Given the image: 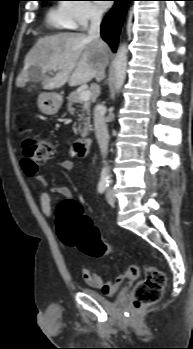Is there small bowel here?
<instances>
[{
    "instance_id": "small-bowel-1",
    "label": "small bowel",
    "mask_w": 193,
    "mask_h": 349,
    "mask_svg": "<svg viewBox=\"0 0 193 349\" xmlns=\"http://www.w3.org/2000/svg\"><path fill=\"white\" fill-rule=\"evenodd\" d=\"M59 165L63 169L70 171L74 168L75 164L72 159L67 158L61 161ZM22 167L27 176L34 178L42 186L47 185V180L45 176L39 173L38 168L35 169L30 163H27L25 160L22 161ZM54 190L63 197L68 198L71 196V191L69 190V188L65 186H57L54 188ZM39 199L42 213L45 216L50 217L52 214V199L50 194L46 191H43L41 192ZM138 275V268L132 265L129 266L124 272L119 274L117 277H115L113 280L105 282L102 279V277H100L96 273L88 269L83 270V278L86 281V283L91 287L101 289L103 292L107 294L114 293L125 279L134 280L138 277Z\"/></svg>"
}]
</instances>
